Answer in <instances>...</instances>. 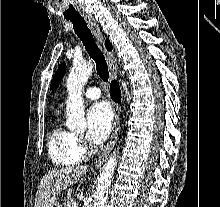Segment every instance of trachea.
I'll list each match as a JSON object with an SVG mask.
<instances>
[{
	"instance_id": "3493384b",
	"label": "trachea",
	"mask_w": 220,
	"mask_h": 207,
	"mask_svg": "<svg viewBox=\"0 0 220 207\" xmlns=\"http://www.w3.org/2000/svg\"><path fill=\"white\" fill-rule=\"evenodd\" d=\"M67 20L72 22L75 33L83 42L89 56L95 61L97 74L104 82H107L109 78V71L105 57L96 45L87 23L81 16L67 18Z\"/></svg>"
}]
</instances>
